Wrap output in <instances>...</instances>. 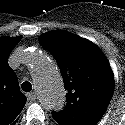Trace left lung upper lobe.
<instances>
[{
	"mask_svg": "<svg viewBox=\"0 0 125 125\" xmlns=\"http://www.w3.org/2000/svg\"><path fill=\"white\" fill-rule=\"evenodd\" d=\"M39 43L56 59L67 91L63 110L52 112L59 125H96L114 92V75L97 45L66 31H50Z\"/></svg>",
	"mask_w": 125,
	"mask_h": 125,
	"instance_id": "5c2ea615",
	"label": "left lung upper lobe"
}]
</instances>
